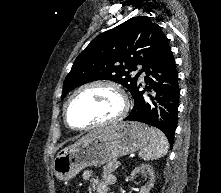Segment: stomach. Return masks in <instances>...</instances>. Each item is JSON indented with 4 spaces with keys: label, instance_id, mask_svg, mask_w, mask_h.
<instances>
[{
    "label": "stomach",
    "instance_id": "1",
    "mask_svg": "<svg viewBox=\"0 0 221 193\" xmlns=\"http://www.w3.org/2000/svg\"><path fill=\"white\" fill-rule=\"evenodd\" d=\"M151 138L150 128L139 122H123L91 135L62 150L53 161L57 179L67 181L88 166H101L138 151Z\"/></svg>",
    "mask_w": 221,
    "mask_h": 193
}]
</instances>
